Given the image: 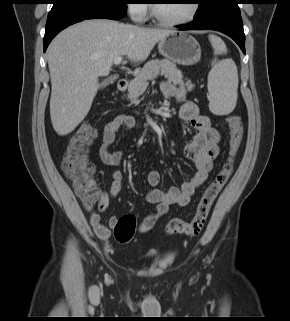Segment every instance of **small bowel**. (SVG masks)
I'll use <instances>...</instances> for the list:
<instances>
[{"label":"small bowel","mask_w":290,"mask_h":321,"mask_svg":"<svg viewBox=\"0 0 290 321\" xmlns=\"http://www.w3.org/2000/svg\"><path fill=\"white\" fill-rule=\"evenodd\" d=\"M161 92L166 98H174L178 101L179 118L195 131L193 139L185 145L183 155L195 164L196 172L180 188L172 187L166 191L158 188L160 173L156 170L150 172L147 181L152 189L147 194L146 199L149 203L154 204L156 209L142 221L140 226L142 232L151 229L167 213L170 205L186 206L190 202L194 191L207 180L213 168V162L220 152V133L212 127L210 120L200 113L194 102L186 100V88L165 81L161 84ZM136 126L135 118L127 114H119L105 125L102 132V144L99 149V157L104 164L118 166L121 163L122 152H113L110 148L120 129H134ZM122 181L123 174L118 169L112 172V181L108 189L99 187L98 182L95 181L100 197L96 209L89 208L88 210L90 212V223L96 235L102 240L109 239L111 228L115 226L117 218L111 217L109 226H106L101 220L100 213L105 211L110 200L120 193Z\"/></svg>","instance_id":"small-bowel-1"}]
</instances>
